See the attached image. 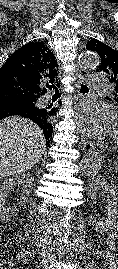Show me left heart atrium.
<instances>
[{
    "mask_svg": "<svg viewBox=\"0 0 118 269\" xmlns=\"http://www.w3.org/2000/svg\"><path fill=\"white\" fill-rule=\"evenodd\" d=\"M74 120L84 133L102 136L111 131L113 116L107 106L86 102L77 107Z\"/></svg>",
    "mask_w": 118,
    "mask_h": 269,
    "instance_id": "obj_1",
    "label": "left heart atrium"
}]
</instances>
